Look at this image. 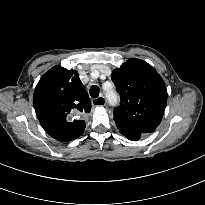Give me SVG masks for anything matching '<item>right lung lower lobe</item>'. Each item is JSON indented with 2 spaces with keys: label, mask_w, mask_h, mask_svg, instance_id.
Instances as JSON below:
<instances>
[{
  "label": "right lung lower lobe",
  "mask_w": 205,
  "mask_h": 205,
  "mask_svg": "<svg viewBox=\"0 0 205 205\" xmlns=\"http://www.w3.org/2000/svg\"><path fill=\"white\" fill-rule=\"evenodd\" d=\"M50 136H52L54 138V135H55V129H49L46 131Z\"/></svg>",
  "instance_id": "1"
}]
</instances>
